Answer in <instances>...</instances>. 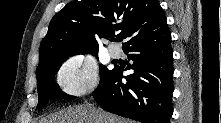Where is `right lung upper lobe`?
I'll return each mask as SVG.
<instances>
[{"instance_id":"obj_1","label":"right lung upper lobe","mask_w":221,"mask_h":123,"mask_svg":"<svg viewBox=\"0 0 221 123\" xmlns=\"http://www.w3.org/2000/svg\"><path fill=\"white\" fill-rule=\"evenodd\" d=\"M169 34L157 0L74 1L52 18L40 45L37 69L60 58L97 52L96 36L126 40V50Z\"/></svg>"}]
</instances>
